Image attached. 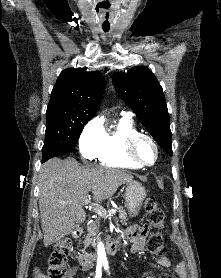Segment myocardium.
Segmentation results:
<instances>
[{
	"label": "myocardium",
	"instance_id": "obj_1",
	"mask_svg": "<svg viewBox=\"0 0 221 278\" xmlns=\"http://www.w3.org/2000/svg\"><path fill=\"white\" fill-rule=\"evenodd\" d=\"M142 139L148 140L155 149V159L152 163H144L137 156L136 147H137L138 142ZM124 155L126 156V158L128 160H130L131 162H133L134 164H136L139 167H151V166L155 165L159 159V146L151 135L146 134V133L137 132V133L129 136L126 139L125 144H124Z\"/></svg>",
	"mask_w": 221,
	"mask_h": 278
}]
</instances>
